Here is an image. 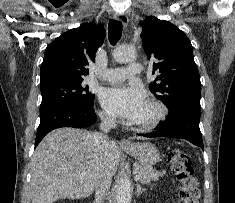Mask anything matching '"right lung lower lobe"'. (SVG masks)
<instances>
[{
    "mask_svg": "<svg viewBox=\"0 0 235 203\" xmlns=\"http://www.w3.org/2000/svg\"><path fill=\"white\" fill-rule=\"evenodd\" d=\"M96 120L93 103L89 105L63 103L40 111V125L37 130L35 147L53 129L84 128L94 124Z\"/></svg>",
    "mask_w": 235,
    "mask_h": 203,
    "instance_id": "1",
    "label": "right lung lower lobe"
}]
</instances>
